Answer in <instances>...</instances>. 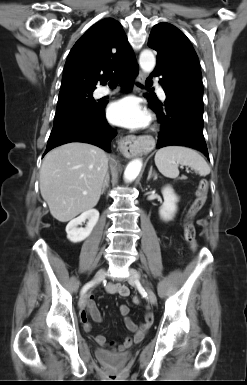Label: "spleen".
Masks as SVG:
<instances>
[{
  "label": "spleen",
  "instance_id": "obj_1",
  "mask_svg": "<svg viewBox=\"0 0 247 385\" xmlns=\"http://www.w3.org/2000/svg\"><path fill=\"white\" fill-rule=\"evenodd\" d=\"M155 164L159 172L168 178L178 177L179 165L189 166L200 176L210 173V167L205 159L197 151L184 146H167L159 149L155 155Z\"/></svg>",
  "mask_w": 247,
  "mask_h": 385
}]
</instances>
